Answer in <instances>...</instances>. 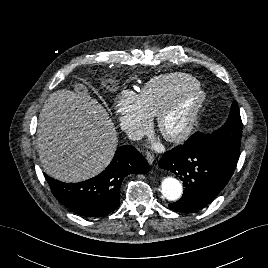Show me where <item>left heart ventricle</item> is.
I'll use <instances>...</instances> for the list:
<instances>
[{"label": "left heart ventricle", "instance_id": "b2bd125f", "mask_svg": "<svg viewBox=\"0 0 268 268\" xmlns=\"http://www.w3.org/2000/svg\"><path fill=\"white\" fill-rule=\"evenodd\" d=\"M193 99V95H187L183 100L182 106L167 118L164 123V129L167 132H175L182 127L188 118V108L192 104Z\"/></svg>", "mask_w": 268, "mask_h": 268}]
</instances>
